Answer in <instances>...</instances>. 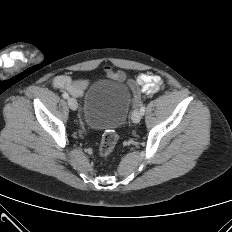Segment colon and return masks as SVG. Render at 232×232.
Masks as SVG:
<instances>
[{"label": "colon", "mask_w": 232, "mask_h": 232, "mask_svg": "<svg viewBox=\"0 0 232 232\" xmlns=\"http://www.w3.org/2000/svg\"><path fill=\"white\" fill-rule=\"evenodd\" d=\"M117 139L118 135L114 130H108L104 133L98 150L101 158H107L112 153Z\"/></svg>", "instance_id": "obj_1"}]
</instances>
